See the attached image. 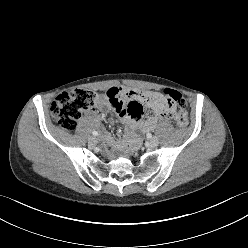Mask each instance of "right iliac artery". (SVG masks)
I'll use <instances>...</instances> for the list:
<instances>
[{
	"label": "right iliac artery",
	"instance_id": "right-iliac-artery-1",
	"mask_svg": "<svg viewBox=\"0 0 248 248\" xmlns=\"http://www.w3.org/2000/svg\"><path fill=\"white\" fill-rule=\"evenodd\" d=\"M92 134H93L94 136H98V132H97V131H93Z\"/></svg>",
	"mask_w": 248,
	"mask_h": 248
}]
</instances>
